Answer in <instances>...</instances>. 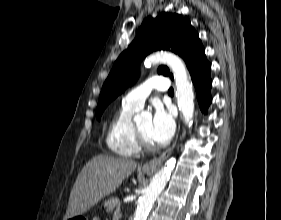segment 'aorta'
Here are the masks:
<instances>
[{
  "mask_svg": "<svg viewBox=\"0 0 281 220\" xmlns=\"http://www.w3.org/2000/svg\"><path fill=\"white\" fill-rule=\"evenodd\" d=\"M157 62L167 64L172 70L176 83V98L179 111L182 113L184 122L191 126L194 113V93L192 84L187 75L184 62L176 55L168 52H162L149 56L145 60L146 66H151ZM145 113L138 114L135 120H140ZM176 160L171 158L166 165L153 177L150 185L145 190L134 215V220H146L156 198L164 189L170 178L171 172L175 167Z\"/></svg>",
  "mask_w": 281,
  "mask_h": 220,
  "instance_id": "762f6f07",
  "label": "aorta"
}]
</instances>
